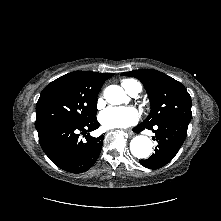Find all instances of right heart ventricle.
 Returning <instances> with one entry per match:
<instances>
[{
    "label": "right heart ventricle",
    "instance_id": "obj_1",
    "mask_svg": "<svg viewBox=\"0 0 221 221\" xmlns=\"http://www.w3.org/2000/svg\"><path fill=\"white\" fill-rule=\"evenodd\" d=\"M136 85L139 87V89L141 90V86L140 84L132 79H126L122 81V86L125 88V90L127 91L131 86Z\"/></svg>",
    "mask_w": 221,
    "mask_h": 221
}]
</instances>
